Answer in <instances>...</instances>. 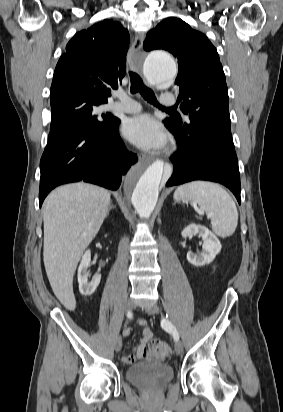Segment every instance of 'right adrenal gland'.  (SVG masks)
<instances>
[{
	"instance_id": "obj_1",
	"label": "right adrenal gland",
	"mask_w": 283,
	"mask_h": 412,
	"mask_svg": "<svg viewBox=\"0 0 283 412\" xmlns=\"http://www.w3.org/2000/svg\"><path fill=\"white\" fill-rule=\"evenodd\" d=\"M115 208V206L110 202V205H109V208H108V211H107V215H109V212L111 211V209H114Z\"/></svg>"
}]
</instances>
